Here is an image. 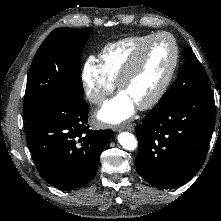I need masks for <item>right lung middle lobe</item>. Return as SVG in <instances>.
<instances>
[{
    "label": "right lung middle lobe",
    "mask_w": 221,
    "mask_h": 221,
    "mask_svg": "<svg viewBox=\"0 0 221 221\" xmlns=\"http://www.w3.org/2000/svg\"><path fill=\"white\" fill-rule=\"evenodd\" d=\"M94 28H58L39 47L28 74L24 121L44 104L64 96L83 97L81 55Z\"/></svg>",
    "instance_id": "dd1d6c3e"
}]
</instances>
